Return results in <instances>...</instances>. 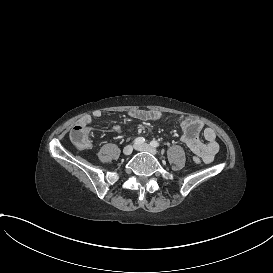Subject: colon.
I'll return each instance as SVG.
<instances>
[{
	"label": "colon",
	"mask_w": 273,
	"mask_h": 273,
	"mask_svg": "<svg viewBox=\"0 0 273 273\" xmlns=\"http://www.w3.org/2000/svg\"><path fill=\"white\" fill-rule=\"evenodd\" d=\"M92 127V122L88 118H82L75 129L69 133V138L73 142V146L78 151L89 150L95 145V140L91 136H86L88 130ZM193 149L203 151L205 146L201 143H196L194 140L189 142Z\"/></svg>",
	"instance_id": "obj_1"
}]
</instances>
